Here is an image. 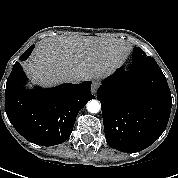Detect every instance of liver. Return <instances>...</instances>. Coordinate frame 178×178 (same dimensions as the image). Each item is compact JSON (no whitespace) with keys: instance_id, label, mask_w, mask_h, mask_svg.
<instances>
[{"instance_id":"6515ba94","label":"liver","mask_w":178,"mask_h":178,"mask_svg":"<svg viewBox=\"0 0 178 178\" xmlns=\"http://www.w3.org/2000/svg\"><path fill=\"white\" fill-rule=\"evenodd\" d=\"M128 51L121 40L51 37L38 43L24 69L33 83L42 86L68 81L70 75L81 81L102 78L121 66Z\"/></svg>"}]
</instances>
